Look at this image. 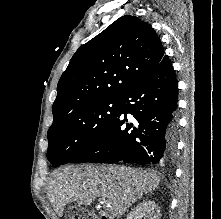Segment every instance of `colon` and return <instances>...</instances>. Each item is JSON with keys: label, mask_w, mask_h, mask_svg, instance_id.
<instances>
[{"label": "colon", "mask_w": 221, "mask_h": 219, "mask_svg": "<svg viewBox=\"0 0 221 219\" xmlns=\"http://www.w3.org/2000/svg\"><path fill=\"white\" fill-rule=\"evenodd\" d=\"M66 219H96V216L87 209L71 207L66 212Z\"/></svg>", "instance_id": "5ec220e1"}]
</instances>
